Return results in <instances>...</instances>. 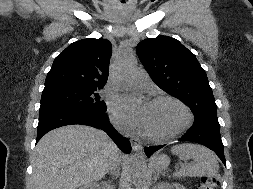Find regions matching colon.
Wrapping results in <instances>:
<instances>
[{
    "mask_svg": "<svg viewBox=\"0 0 253 189\" xmlns=\"http://www.w3.org/2000/svg\"><path fill=\"white\" fill-rule=\"evenodd\" d=\"M220 181L218 174L204 176L196 189H216Z\"/></svg>",
    "mask_w": 253,
    "mask_h": 189,
    "instance_id": "1",
    "label": "colon"
}]
</instances>
